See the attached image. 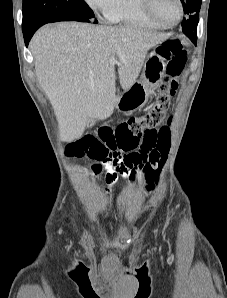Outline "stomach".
Masks as SVG:
<instances>
[{"label":"stomach","mask_w":227,"mask_h":298,"mask_svg":"<svg viewBox=\"0 0 227 298\" xmlns=\"http://www.w3.org/2000/svg\"><path fill=\"white\" fill-rule=\"evenodd\" d=\"M165 63L155 51L147 57L141 78L129 89L116 97L115 108L123 114H131L147 102L151 92L159 85L164 74Z\"/></svg>","instance_id":"1"}]
</instances>
